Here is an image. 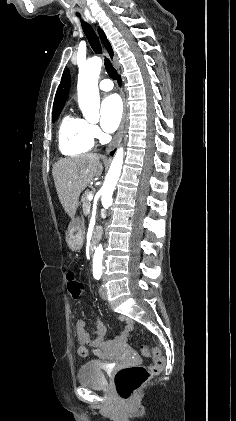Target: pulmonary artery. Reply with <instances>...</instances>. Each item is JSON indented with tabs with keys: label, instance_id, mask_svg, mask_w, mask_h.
Wrapping results in <instances>:
<instances>
[{
	"label": "pulmonary artery",
	"instance_id": "obj_1",
	"mask_svg": "<svg viewBox=\"0 0 236 421\" xmlns=\"http://www.w3.org/2000/svg\"><path fill=\"white\" fill-rule=\"evenodd\" d=\"M99 88L102 91H111L114 89V84L112 83V81H110L109 79H103L102 81H100L99 83Z\"/></svg>",
	"mask_w": 236,
	"mask_h": 421
}]
</instances>
